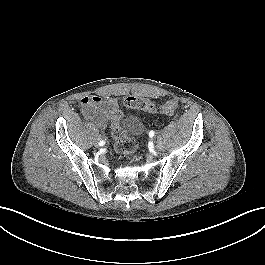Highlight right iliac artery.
I'll list each match as a JSON object with an SVG mask.
<instances>
[{"label":"right iliac artery","mask_w":265,"mask_h":265,"mask_svg":"<svg viewBox=\"0 0 265 265\" xmlns=\"http://www.w3.org/2000/svg\"><path fill=\"white\" fill-rule=\"evenodd\" d=\"M104 144H105V141H100V142H99V145H100V146H103Z\"/></svg>","instance_id":"82829eb1"}]
</instances>
